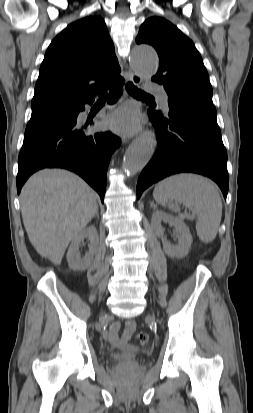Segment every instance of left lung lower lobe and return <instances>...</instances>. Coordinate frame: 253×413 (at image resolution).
I'll return each mask as SVG.
<instances>
[{"instance_id": "left-lung-lower-lobe-1", "label": "left lung lower lobe", "mask_w": 253, "mask_h": 413, "mask_svg": "<svg viewBox=\"0 0 253 413\" xmlns=\"http://www.w3.org/2000/svg\"><path fill=\"white\" fill-rule=\"evenodd\" d=\"M157 130V150L140 174L137 198L151 184L176 173L193 172L213 179L226 199L227 152L216 113L186 104H169V116L148 110Z\"/></svg>"}]
</instances>
